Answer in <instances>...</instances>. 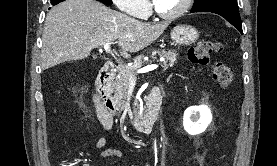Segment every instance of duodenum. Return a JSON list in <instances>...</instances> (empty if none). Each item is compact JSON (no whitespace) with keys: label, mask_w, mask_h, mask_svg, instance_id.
<instances>
[{"label":"duodenum","mask_w":277,"mask_h":166,"mask_svg":"<svg viewBox=\"0 0 277 166\" xmlns=\"http://www.w3.org/2000/svg\"><path fill=\"white\" fill-rule=\"evenodd\" d=\"M114 74V63L112 61L106 62L97 77L96 93L94 95L95 105L100 116L109 122H114L118 114L116 103L112 99L109 89ZM160 106V92L154 89L148 95L143 114L131 119L130 124L140 132L149 133L158 117Z\"/></svg>","instance_id":"obj_1"}]
</instances>
